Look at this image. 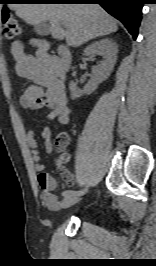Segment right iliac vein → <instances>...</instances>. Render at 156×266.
<instances>
[{"mask_svg": "<svg viewBox=\"0 0 156 266\" xmlns=\"http://www.w3.org/2000/svg\"><path fill=\"white\" fill-rule=\"evenodd\" d=\"M79 200H80L79 196L66 197L63 199L61 206H62V208H68V207L74 205L75 203H77Z\"/></svg>", "mask_w": 156, "mask_h": 266, "instance_id": "obj_1", "label": "right iliac vein"}]
</instances>
